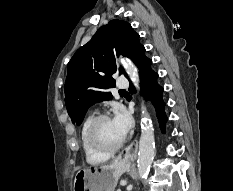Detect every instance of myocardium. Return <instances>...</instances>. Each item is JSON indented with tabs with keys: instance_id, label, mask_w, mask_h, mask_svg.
Instances as JSON below:
<instances>
[{
	"instance_id": "f54148a6",
	"label": "myocardium",
	"mask_w": 233,
	"mask_h": 191,
	"mask_svg": "<svg viewBox=\"0 0 233 191\" xmlns=\"http://www.w3.org/2000/svg\"><path fill=\"white\" fill-rule=\"evenodd\" d=\"M107 119H110L108 114H99L91 120L86 131V141L93 152L100 155L111 156L124 145L125 139L123 138L118 144L112 147H105L99 143L96 136L97 128L102 121Z\"/></svg>"
}]
</instances>
